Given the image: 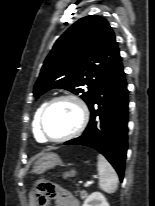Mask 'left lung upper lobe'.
<instances>
[{"label": "left lung upper lobe", "instance_id": "obj_1", "mask_svg": "<svg viewBox=\"0 0 155 206\" xmlns=\"http://www.w3.org/2000/svg\"><path fill=\"white\" fill-rule=\"evenodd\" d=\"M120 60L109 23L96 15L83 17L55 42L34 86V96L62 88L79 94L89 106Z\"/></svg>", "mask_w": 155, "mask_h": 206}]
</instances>
